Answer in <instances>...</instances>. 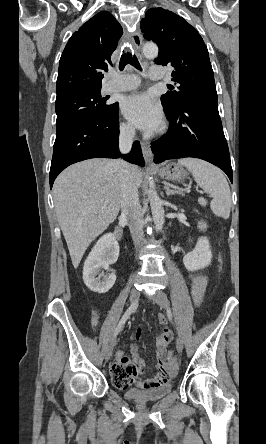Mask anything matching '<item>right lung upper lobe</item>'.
Here are the masks:
<instances>
[{
    "label": "right lung upper lobe",
    "mask_w": 266,
    "mask_h": 444,
    "mask_svg": "<svg viewBox=\"0 0 266 444\" xmlns=\"http://www.w3.org/2000/svg\"><path fill=\"white\" fill-rule=\"evenodd\" d=\"M123 33L119 22L102 11L84 23L67 42L59 62L56 94L101 89L103 72Z\"/></svg>",
    "instance_id": "obj_1"
}]
</instances>
